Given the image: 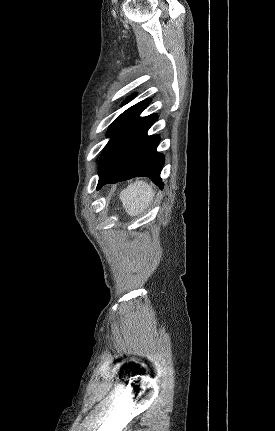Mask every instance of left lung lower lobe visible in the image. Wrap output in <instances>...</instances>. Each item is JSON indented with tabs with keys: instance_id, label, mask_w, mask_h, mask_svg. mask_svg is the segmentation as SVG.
I'll use <instances>...</instances> for the list:
<instances>
[{
	"instance_id": "0a47b994",
	"label": "left lung lower lobe",
	"mask_w": 275,
	"mask_h": 431,
	"mask_svg": "<svg viewBox=\"0 0 275 431\" xmlns=\"http://www.w3.org/2000/svg\"><path fill=\"white\" fill-rule=\"evenodd\" d=\"M154 120L135 136L116 156L111 165L99 173L97 189L107 183H116L133 177H149L161 189L163 183L160 173L164 165V156L157 153L160 137L147 135Z\"/></svg>"
}]
</instances>
